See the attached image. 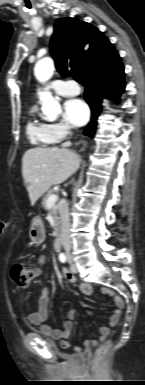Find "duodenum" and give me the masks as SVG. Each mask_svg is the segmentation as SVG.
Masks as SVG:
<instances>
[{
	"label": "duodenum",
	"mask_w": 145,
	"mask_h": 385,
	"mask_svg": "<svg viewBox=\"0 0 145 385\" xmlns=\"http://www.w3.org/2000/svg\"><path fill=\"white\" fill-rule=\"evenodd\" d=\"M61 246H62V243H61V239L59 236H57L55 238V241H54V249L56 252H59L61 250Z\"/></svg>",
	"instance_id": "410a0bca"
}]
</instances>
